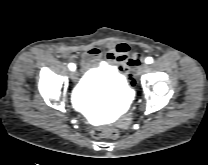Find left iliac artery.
<instances>
[{"label": "left iliac artery", "instance_id": "44dca946", "mask_svg": "<svg viewBox=\"0 0 208 165\" xmlns=\"http://www.w3.org/2000/svg\"><path fill=\"white\" fill-rule=\"evenodd\" d=\"M145 62H146L147 64H150V63L153 62V58H152V57H147L146 60H145Z\"/></svg>", "mask_w": 208, "mask_h": 165}]
</instances>
